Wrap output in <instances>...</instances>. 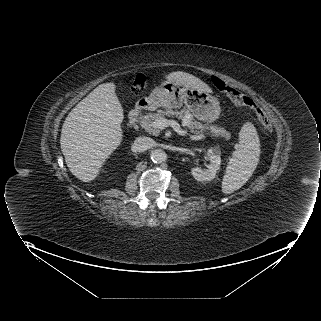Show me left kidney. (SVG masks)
<instances>
[{
	"label": "left kidney",
	"mask_w": 321,
	"mask_h": 321,
	"mask_svg": "<svg viewBox=\"0 0 321 321\" xmlns=\"http://www.w3.org/2000/svg\"><path fill=\"white\" fill-rule=\"evenodd\" d=\"M210 158V163L207 169L192 168L191 174L198 181H211L215 178L217 171L220 168L221 157L218 148H210L207 151Z\"/></svg>",
	"instance_id": "obj_1"
}]
</instances>
